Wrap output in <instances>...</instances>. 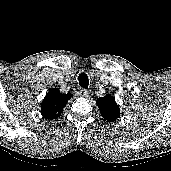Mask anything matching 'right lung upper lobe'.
<instances>
[{
  "mask_svg": "<svg viewBox=\"0 0 171 171\" xmlns=\"http://www.w3.org/2000/svg\"><path fill=\"white\" fill-rule=\"evenodd\" d=\"M72 96L71 93L63 94L56 88L49 90L41 104V114L48 120L58 118Z\"/></svg>",
  "mask_w": 171,
  "mask_h": 171,
  "instance_id": "cb5924a9",
  "label": "right lung upper lobe"
}]
</instances>
